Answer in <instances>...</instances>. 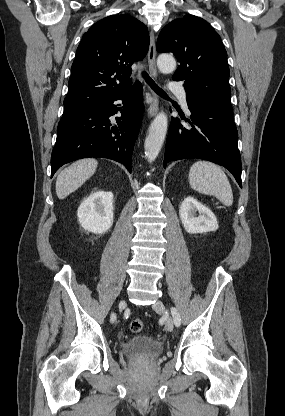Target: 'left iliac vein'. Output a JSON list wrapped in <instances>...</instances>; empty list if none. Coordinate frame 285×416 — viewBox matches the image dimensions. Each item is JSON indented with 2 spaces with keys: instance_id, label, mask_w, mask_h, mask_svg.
I'll list each match as a JSON object with an SVG mask.
<instances>
[{
  "instance_id": "1",
  "label": "left iliac vein",
  "mask_w": 285,
  "mask_h": 416,
  "mask_svg": "<svg viewBox=\"0 0 285 416\" xmlns=\"http://www.w3.org/2000/svg\"><path fill=\"white\" fill-rule=\"evenodd\" d=\"M152 308L155 311H158L159 313H164L165 311V305L164 302L162 300H156V302L153 304ZM173 320L171 317L167 316L166 320H165V329L167 331H172L173 330Z\"/></svg>"
}]
</instances>
